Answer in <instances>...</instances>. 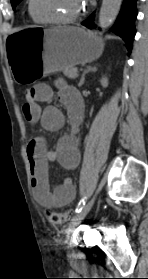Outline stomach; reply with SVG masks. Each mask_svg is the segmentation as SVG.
Wrapping results in <instances>:
<instances>
[{
	"label": "stomach",
	"instance_id": "obj_1",
	"mask_svg": "<svg viewBox=\"0 0 148 279\" xmlns=\"http://www.w3.org/2000/svg\"><path fill=\"white\" fill-rule=\"evenodd\" d=\"M6 59L10 78L18 87H33L43 82L46 72L61 71L98 59L104 49L103 40L95 33L76 27L43 29L41 25H26L9 34ZM42 49V50H41Z\"/></svg>",
	"mask_w": 148,
	"mask_h": 279
}]
</instances>
